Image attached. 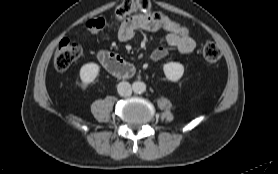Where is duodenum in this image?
Segmentation results:
<instances>
[{
  "mask_svg": "<svg viewBox=\"0 0 278 174\" xmlns=\"http://www.w3.org/2000/svg\"><path fill=\"white\" fill-rule=\"evenodd\" d=\"M99 60L102 65L114 75L122 77L132 71V66L116 54L110 52H101L99 54Z\"/></svg>",
  "mask_w": 278,
  "mask_h": 174,
  "instance_id": "duodenum-1",
  "label": "duodenum"
}]
</instances>
